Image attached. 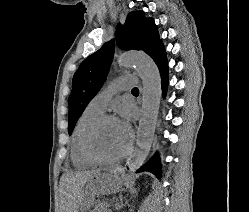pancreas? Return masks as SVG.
I'll return each instance as SVG.
<instances>
[{
    "instance_id": "obj_1",
    "label": "pancreas",
    "mask_w": 249,
    "mask_h": 212,
    "mask_svg": "<svg viewBox=\"0 0 249 212\" xmlns=\"http://www.w3.org/2000/svg\"><path fill=\"white\" fill-rule=\"evenodd\" d=\"M93 212H111V210H107V208H103L102 204H96Z\"/></svg>"
}]
</instances>
